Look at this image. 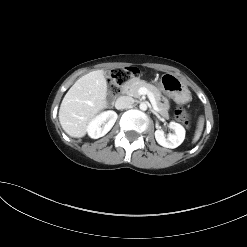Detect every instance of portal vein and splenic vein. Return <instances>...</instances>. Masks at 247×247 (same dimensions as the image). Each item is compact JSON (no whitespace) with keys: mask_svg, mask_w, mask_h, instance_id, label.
I'll return each mask as SVG.
<instances>
[{"mask_svg":"<svg viewBox=\"0 0 247 247\" xmlns=\"http://www.w3.org/2000/svg\"><path fill=\"white\" fill-rule=\"evenodd\" d=\"M139 93H140V95H142V94L147 95L149 100H150V102H151V104L153 105V108L155 110H157L155 97H154V94L151 91H149L147 88L143 87V88H140Z\"/></svg>","mask_w":247,"mask_h":247,"instance_id":"18ae733b","label":"portal vein and splenic vein"}]
</instances>
